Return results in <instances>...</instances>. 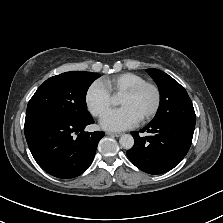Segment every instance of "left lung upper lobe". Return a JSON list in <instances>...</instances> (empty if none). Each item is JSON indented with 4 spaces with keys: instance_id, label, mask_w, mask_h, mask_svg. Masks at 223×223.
<instances>
[{
    "instance_id": "5c2ea615",
    "label": "left lung upper lobe",
    "mask_w": 223,
    "mask_h": 223,
    "mask_svg": "<svg viewBox=\"0 0 223 223\" xmlns=\"http://www.w3.org/2000/svg\"><path fill=\"white\" fill-rule=\"evenodd\" d=\"M147 72L160 91V106L151 122L180 121L195 124V111L186 90L161 70L152 68Z\"/></svg>"
}]
</instances>
